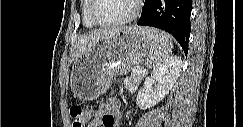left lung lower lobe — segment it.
Listing matches in <instances>:
<instances>
[{"label": "left lung lower lobe", "instance_id": "1", "mask_svg": "<svg viewBox=\"0 0 243 127\" xmlns=\"http://www.w3.org/2000/svg\"><path fill=\"white\" fill-rule=\"evenodd\" d=\"M191 9V0H145L137 24L156 27L172 34L187 54Z\"/></svg>", "mask_w": 243, "mask_h": 127}]
</instances>
